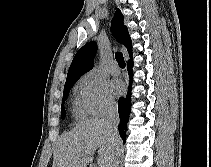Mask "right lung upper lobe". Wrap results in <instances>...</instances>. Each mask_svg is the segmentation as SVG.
<instances>
[{
    "label": "right lung upper lobe",
    "mask_w": 211,
    "mask_h": 167,
    "mask_svg": "<svg viewBox=\"0 0 211 167\" xmlns=\"http://www.w3.org/2000/svg\"><path fill=\"white\" fill-rule=\"evenodd\" d=\"M124 16L119 9L116 10L112 20V32L118 41L124 44L132 58V42L127 27L123 23ZM97 51L95 42L85 44L75 55L68 70L66 82L78 80L84 73L90 71L94 66V57Z\"/></svg>",
    "instance_id": "1"
}]
</instances>
